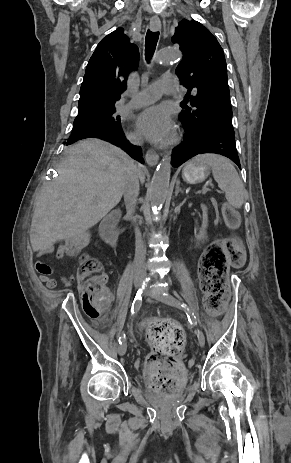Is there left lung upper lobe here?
<instances>
[{"label": "left lung upper lobe", "instance_id": "5c2ea615", "mask_svg": "<svg viewBox=\"0 0 291 463\" xmlns=\"http://www.w3.org/2000/svg\"><path fill=\"white\" fill-rule=\"evenodd\" d=\"M172 42L183 52L176 74L188 88L185 99L190 98L194 107L182 111L179 118L191 125L234 133L227 66L217 39L199 22L184 19L176 27Z\"/></svg>", "mask_w": 291, "mask_h": 463}]
</instances>
